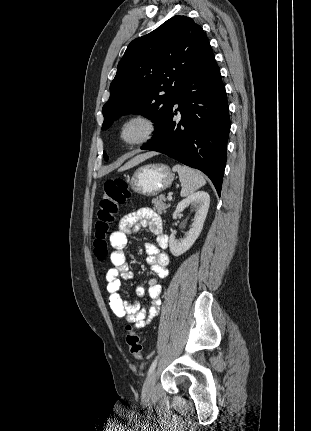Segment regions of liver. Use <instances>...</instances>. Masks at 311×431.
I'll list each match as a JSON object with an SVG mask.
<instances>
[{"mask_svg":"<svg viewBox=\"0 0 311 431\" xmlns=\"http://www.w3.org/2000/svg\"><path fill=\"white\" fill-rule=\"evenodd\" d=\"M147 158H152V154H139V156H135V158L129 160V162H127L125 166H122L120 170H129V168H134V166H138V164H141V162H144Z\"/></svg>","mask_w":311,"mask_h":431,"instance_id":"obj_1","label":"liver"}]
</instances>
